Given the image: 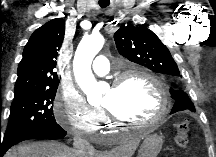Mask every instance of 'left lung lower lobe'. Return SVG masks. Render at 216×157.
<instances>
[{"label":"left lung lower lobe","mask_w":216,"mask_h":157,"mask_svg":"<svg viewBox=\"0 0 216 157\" xmlns=\"http://www.w3.org/2000/svg\"><path fill=\"white\" fill-rule=\"evenodd\" d=\"M188 109L184 104H174L172 110H171V113H175V112H178V111H183V110H186Z\"/></svg>","instance_id":"left-lung-lower-lobe-1"}]
</instances>
